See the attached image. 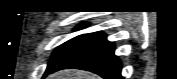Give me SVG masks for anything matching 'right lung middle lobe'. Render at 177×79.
Returning a JSON list of instances; mask_svg holds the SVG:
<instances>
[{
    "label": "right lung middle lobe",
    "instance_id": "1",
    "mask_svg": "<svg viewBox=\"0 0 177 79\" xmlns=\"http://www.w3.org/2000/svg\"><path fill=\"white\" fill-rule=\"evenodd\" d=\"M86 25H83L81 27H84ZM79 27V28H81ZM91 34H83L80 36H77L61 46H59L52 54L51 61L47 67L46 72L57 65L64 57H66L70 52H72L74 49H76L78 46H80ZM45 72V73H46Z\"/></svg>",
    "mask_w": 177,
    "mask_h": 79
}]
</instances>
